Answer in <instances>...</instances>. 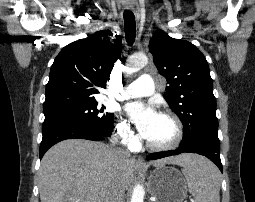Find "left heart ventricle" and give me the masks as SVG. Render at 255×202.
<instances>
[{
	"label": "left heart ventricle",
	"instance_id": "b2bd125f",
	"mask_svg": "<svg viewBox=\"0 0 255 202\" xmlns=\"http://www.w3.org/2000/svg\"><path fill=\"white\" fill-rule=\"evenodd\" d=\"M174 135L175 128L171 120L158 115L145 138L152 143L163 144L170 142Z\"/></svg>",
	"mask_w": 255,
	"mask_h": 202
}]
</instances>
